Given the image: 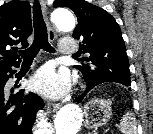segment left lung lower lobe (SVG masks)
<instances>
[{
  "instance_id": "obj_1",
  "label": "left lung lower lobe",
  "mask_w": 153,
  "mask_h": 134,
  "mask_svg": "<svg viewBox=\"0 0 153 134\" xmlns=\"http://www.w3.org/2000/svg\"><path fill=\"white\" fill-rule=\"evenodd\" d=\"M95 86H97V85H88V84H87V89L85 90V92H84L81 96H79V97H77V98L75 99V102L80 103V102L82 101V99L85 97V95H86L92 88H94Z\"/></svg>"
}]
</instances>
